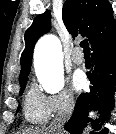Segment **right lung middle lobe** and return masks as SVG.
I'll return each mask as SVG.
<instances>
[{
    "mask_svg": "<svg viewBox=\"0 0 116 134\" xmlns=\"http://www.w3.org/2000/svg\"><path fill=\"white\" fill-rule=\"evenodd\" d=\"M26 83L27 81L25 80L20 86H21V89H20V95L23 93L24 89H25V86H26ZM20 109V106L18 107V111Z\"/></svg>",
    "mask_w": 116,
    "mask_h": 134,
    "instance_id": "obj_1",
    "label": "right lung middle lobe"
}]
</instances>
